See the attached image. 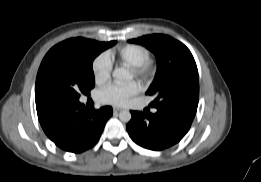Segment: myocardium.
<instances>
[{
  "label": "myocardium",
  "instance_id": "myocardium-1",
  "mask_svg": "<svg viewBox=\"0 0 261 182\" xmlns=\"http://www.w3.org/2000/svg\"><path fill=\"white\" fill-rule=\"evenodd\" d=\"M130 69L135 78L144 84H148L156 75L157 64L153 60L147 59L141 64L131 67Z\"/></svg>",
  "mask_w": 261,
  "mask_h": 182
}]
</instances>
